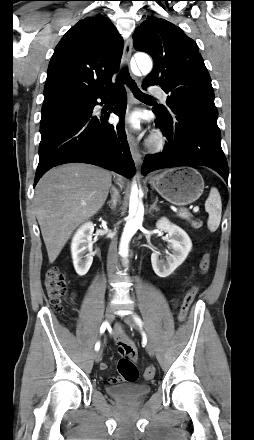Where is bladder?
Masks as SVG:
<instances>
[{
  "label": "bladder",
  "instance_id": "obj_1",
  "mask_svg": "<svg viewBox=\"0 0 254 440\" xmlns=\"http://www.w3.org/2000/svg\"><path fill=\"white\" fill-rule=\"evenodd\" d=\"M106 392L114 398L136 400L151 392L148 384H121L106 387Z\"/></svg>",
  "mask_w": 254,
  "mask_h": 440
}]
</instances>
